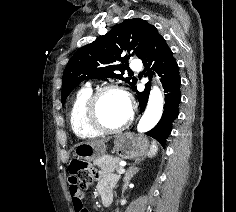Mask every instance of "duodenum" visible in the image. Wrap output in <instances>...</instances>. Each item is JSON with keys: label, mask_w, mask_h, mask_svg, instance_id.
I'll use <instances>...</instances> for the list:
<instances>
[{"label": "duodenum", "mask_w": 236, "mask_h": 212, "mask_svg": "<svg viewBox=\"0 0 236 212\" xmlns=\"http://www.w3.org/2000/svg\"><path fill=\"white\" fill-rule=\"evenodd\" d=\"M99 198H100L101 204L103 205L108 204L112 198L111 190L100 189Z\"/></svg>", "instance_id": "obj_1"}]
</instances>
